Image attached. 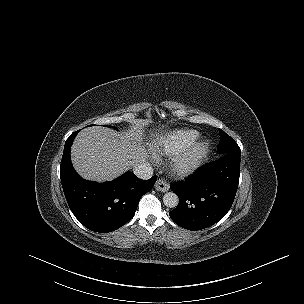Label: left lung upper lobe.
Wrapping results in <instances>:
<instances>
[{
  "label": "left lung upper lobe",
  "mask_w": 304,
  "mask_h": 304,
  "mask_svg": "<svg viewBox=\"0 0 304 304\" xmlns=\"http://www.w3.org/2000/svg\"><path fill=\"white\" fill-rule=\"evenodd\" d=\"M220 143L218 145V153H226L230 151H240L238 144L234 141L232 137L226 134L223 130L220 129Z\"/></svg>",
  "instance_id": "1"
}]
</instances>
